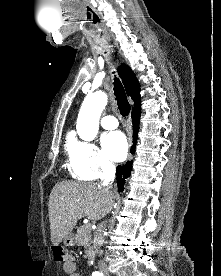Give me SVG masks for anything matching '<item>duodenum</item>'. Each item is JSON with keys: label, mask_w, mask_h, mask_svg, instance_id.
<instances>
[{"label": "duodenum", "mask_w": 221, "mask_h": 276, "mask_svg": "<svg viewBox=\"0 0 221 276\" xmlns=\"http://www.w3.org/2000/svg\"><path fill=\"white\" fill-rule=\"evenodd\" d=\"M87 254H88L89 258H91V259L94 258V252L92 249H88Z\"/></svg>", "instance_id": "1"}]
</instances>
